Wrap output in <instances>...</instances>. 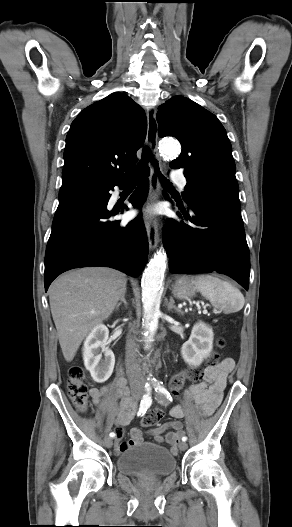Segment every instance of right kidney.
I'll return each mask as SVG.
<instances>
[{"mask_svg": "<svg viewBox=\"0 0 292 527\" xmlns=\"http://www.w3.org/2000/svg\"><path fill=\"white\" fill-rule=\"evenodd\" d=\"M108 336V328L99 324L92 329L84 341V365L97 383L105 382L111 376L115 365L114 353L107 347Z\"/></svg>", "mask_w": 292, "mask_h": 527, "instance_id": "ca27d5eb", "label": "right kidney"}]
</instances>
